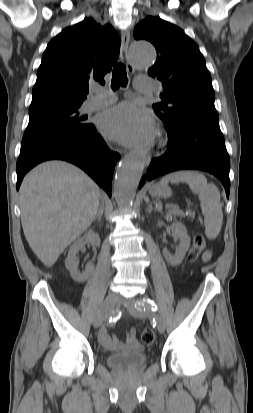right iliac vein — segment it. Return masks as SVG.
<instances>
[{
  "label": "right iliac vein",
  "mask_w": 253,
  "mask_h": 413,
  "mask_svg": "<svg viewBox=\"0 0 253 413\" xmlns=\"http://www.w3.org/2000/svg\"><path fill=\"white\" fill-rule=\"evenodd\" d=\"M117 301H118V298L113 293H110L106 296L104 302L102 303L100 307V310L97 316L95 317L93 321L94 328H98L101 325L103 319L110 315Z\"/></svg>",
  "instance_id": "obj_1"
}]
</instances>
